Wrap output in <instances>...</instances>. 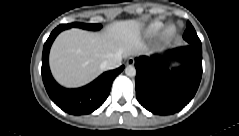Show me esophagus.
I'll use <instances>...</instances> for the list:
<instances>
[{
  "label": "esophagus",
  "instance_id": "obj_1",
  "mask_svg": "<svg viewBox=\"0 0 239 136\" xmlns=\"http://www.w3.org/2000/svg\"><path fill=\"white\" fill-rule=\"evenodd\" d=\"M134 58L130 57L128 60H127V65H133L134 64Z\"/></svg>",
  "mask_w": 239,
  "mask_h": 136
}]
</instances>
